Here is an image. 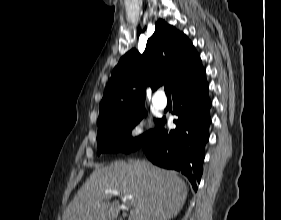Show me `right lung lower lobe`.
I'll return each mask as SVG.
<instances>
[{"label":"right lung lower lobe","mask_w":281,"mask_h":220,"mask_svg":"<svg viewBox=\"0 0 281 220\" xmlns=\"http://www.w3.org/2000/svg\"><path fill=\"white\" fill-rule=\"evenodd\" d=\"M206 78L173 93L176 129H164L165 118L159 121L154 133L140 147L152 163L182 172L197 191L203 172L204 148L209 139L211 122Z\"/></svg>","instance_id":"1"}]
</instances>
